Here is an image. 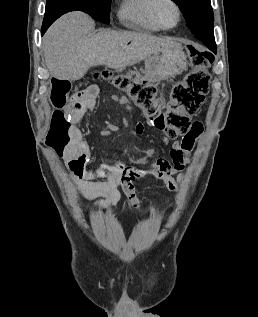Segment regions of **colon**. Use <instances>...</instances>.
<instances>
[{
  "label": "colon",
  "instance_id": "obj_1",
  "mask_svg": "<svg viewBox=\"0 0 258 317\" xmlns=\"http://www.w3.org/2000/svg\"><path fill=\"white\" fill-rule=\"evenodd\" d=\"M188 52L194 69L172 89L166 102L156 97L153 87L132 74H115L105 69L95 71L92 77L111 80L116 88L128 93L157 129L174 139L191 129L190 117L204 101L210 79L208 70L214 61V55L207 50L190 47ZM70 89L71 83L66 79L53 82L50 100L56 109L52 113L47 144L58 152L68 147L74 138V120L64 109Z\"/></svg>",
  "mask_w": 258,
  "mask_h": 317
}]
</instances>
